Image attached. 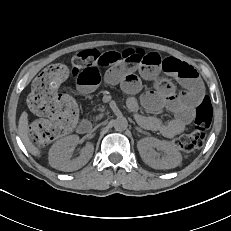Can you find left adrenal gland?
Masks as SVG:
<instances>
[{
    "mask_svg": "<svg viewBox=\"0 0 231 231\" xmlns=\"http://www.w3.org/2000/svg\"><path fill=\"white\" fill-rule=\"evenodd\" d=\"M136 130H137L138 132L142 133V134H146V132L143 131L142 129H140L139 127H136Z\"/></svg>",
    "mask_w": 231,
    "mask_h": 231,
    "instance_id": "left-adrenal-gland-1",
    "label": "left adrenal gland"
}]
</instances>
